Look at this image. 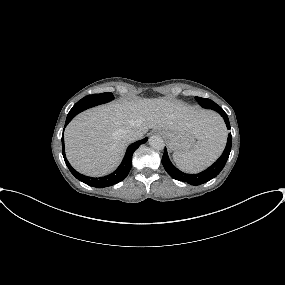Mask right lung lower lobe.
<instances>
[{
    "instance_id": "right-lung-lower-lobe-1",
    "label": "right lung lower lobe",
    "mask_w": 285,
    "mask_h": 285,
    "mask_svg": "<svg viewBox=\"0 0 285 285\" xmlns=\"http://www.w3.org/2000/svg\"><path fill=\"white\" fill-rule=\"evenodd\" d=\"M73 116H67L66 122H65V126L72 120ZM148 140V138H144L140 141H137L133 144H131L126 151V154L123 158V161L121 162L120 166L112 173L109 174L107 176L104 177H99V178H93V177H88L85 175H82L80 173H78L77 171H75L71 165L69 164V162L67 161L66 157H65V151H64V139L62 136V153H63V157L65 160V163L67 165V167L69 168L70 172L80 181L86 183L89 186L92 187H96V188H103V187H108V186H112L116 183H119L120 181H122L124 178L127 177L131 166H132V155L134 153V151L141 145L144 144L146 141Z\"/></svg>"
}]
</instances>
